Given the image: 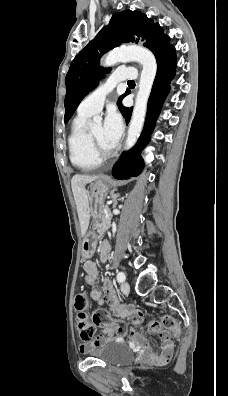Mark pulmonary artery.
I'll return each instance as SVG.
<instances>
[{
    "instance_id": "e3ab8cb5",
    "label": "pulmonary artery",
    "mask_w": 228,
    "mask_h": 396,
    "mask_svg": "<svg viewBox=\"0 0 228 396\" xmlns=\"http://www.w3.org/2000/svg\"><path fill=\"white\" fill-rule=\"evenodd\" d=\"M136 77L137 70L133 67L118 69L81 101L78 112L88 115L99 112L103 107L106 96L118 83L129 79H135Z\"/></svg>"
}]
</instances>
